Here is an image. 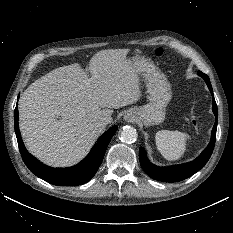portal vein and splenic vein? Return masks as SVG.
Wrapping results in <instances>:
<instances>
[{"label":"portal vein and splenic vein","instance_id":"18ae733b","mask_svg":"<svg viewBox=\"0 0 233 233\" xmlns=\"http://www.w3.org/2000/svg\"><path fill=\"white\" fill-rule=\"evenodd\" d=\"M86 86H87V87H89V86H90V82H89V81L86 83Z\"/></svg>","mask_w":233,"mask_h":233}]
</instances>
